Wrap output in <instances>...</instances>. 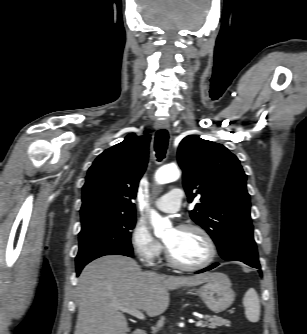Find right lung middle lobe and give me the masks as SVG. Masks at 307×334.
Instances as JSON below:
<instances>
[{
  "instance_id": "obj_1",
  "label": "right lung middle lobe",
  "mask_w": 307,
  "mask_h": 334,
  "mask_svg": "<svg viewBox=\"0 0 307 334\" xmlns=\"http://www.w3.org/2000/svg\"><path fill=\"white\" fill-rule=\"evenodd\" d=\"M135 222V215L93 214L81 217L76 268L104 255L125 253L131 257L130 230Z\"/></svg>"
}]
</instances>
